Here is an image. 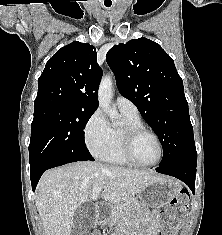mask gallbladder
Instances as JSON below:
<instances>
[{
    "label": "gallbladder",
    "mask_w": 222,
    "mask_h": 235,
    "mask_svg": "<svg viewBox=\"0 0 222 235\" xmlns=\"http://www.w3.org/2000/svg\"><path fill=\"white\" fill-rule=\"evenodd\" d=\"M95 221V206L91 202L80 205L73 217L71 235H87Z\"/></svg>",
    "instance_id": "obj_1"
}]
</instances>
